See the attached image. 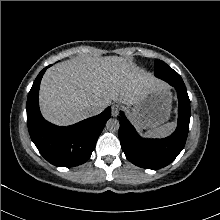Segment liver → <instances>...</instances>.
<instances>
[{"mask_svg":"<svg viewBox=\"0 0 220 220\" xmlns=\"http://www.w3.org/2000/svg\"><path fill=\"white\" fill-rule=\"evenodd\" d=\"M160 82L152 74L118 56L77 57L60 62L44 74L39 92L42 115L67 126L87 117L86 107L112 101L134 105Z\"/></svg>","mask_w":220,"mask_h":220,"instance_id":"1","label":"liver"}]
</instances>
